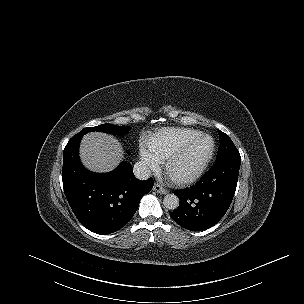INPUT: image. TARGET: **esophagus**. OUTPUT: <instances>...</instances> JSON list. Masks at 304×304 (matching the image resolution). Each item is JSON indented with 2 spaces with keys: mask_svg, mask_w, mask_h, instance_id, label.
<instances>
[{
  "mask_svg": "<svg viewBox=\"0 0 304 304\" xmlns=\"http://www.w3.org/2000/svg\"><path fill=\"white\" fill-rule=\"evenodd\" d=\"M153 190L156 191L159 194L165 195L168 193V190L162 187L160 184L155 183L153 186Z\"/></svg>",
  "mask_w": 304,
  "mask_h": 304,
  "instance_id": "esophagus-1",
  "label": "esophagus"
}]
</instances>
